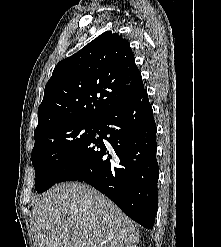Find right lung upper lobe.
Instances as JSON below:
<instances>
[{
	"instance_id": "obj_1",
	"label": "right lung upper lobe",
	"mask_w": 221,
	"mask_h": 247,
	"mask_svg": "<svg viewBox=\"0 0 221 247\" xmlns=\"http://www.w3.org/2000/svg\"><path fill=\"white\" fill-rule=\"evenodd\" d=\"M142 90L129 42L104 32L56 65L38 108L34 136L68 122L98 123Z\"/></svg>"
}]
</instances>
